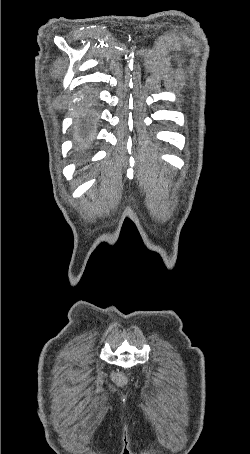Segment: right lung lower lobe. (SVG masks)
Here are the masks:
<instances>
[{
	"label": "right lung lower lobe",
	"instance_id": "obj_1",
	"mask_svg": "<svg viewBox=\"0 0 250 454\" xmlns=\"http://www.w3.org/2000/svg\"><path fill=\"white\" fill-rule=\"evenodd\" d=\"M98 121L96 95L90 89H85L75 117V128L83 142L92 141Z\"/></svg>",
	"mask_w": 250,
	"mask_h": 454
}]
</instances>
